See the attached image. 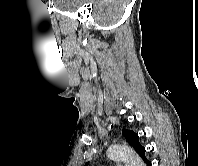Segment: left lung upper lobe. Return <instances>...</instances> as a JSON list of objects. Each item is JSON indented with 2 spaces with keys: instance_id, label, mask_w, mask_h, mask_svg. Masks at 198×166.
<instances>
[{
  "instance_id": "1",
  "label": "left lung upper lobe",
  "mask_w": 198,
  "mask_h": 166,
  "mask_svg": "<svg viewBox=\"0 0 198 166\" xmlns=\"http://www.w3.org/2000/svg\"><path fill=\"white\" fill-rule=\"evenodd\" d=\"M122 133L126 141L135 148V151L142 157L143 161H146L145 148L139 143L138 134L126 129H123ZM85 166H88V163Z\"/></svg>"
}]
</instances>
